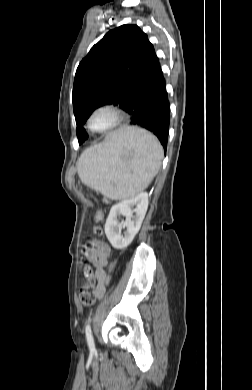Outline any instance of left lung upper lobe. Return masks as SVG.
<instances>
[{"label": "left lung upper lobe", "mask_w": 252, "mask_h": 390, "mask_svg": "<svg viewBox=\"0 0 252 390\" xmlns=\"http://www.w3.org/2000/svg\"><path fill=\"white\" fill-rule=\"evenodd\" d=\"M158 63L153 45L137 25L112 29L91 48L77 68L72 93L79 144L90 114L103 105L125 109Z\"/></svg>", "instance_id": "obj_1"}]
</instances>
